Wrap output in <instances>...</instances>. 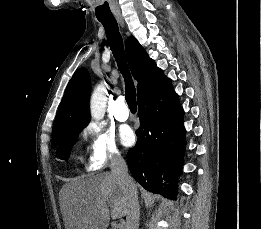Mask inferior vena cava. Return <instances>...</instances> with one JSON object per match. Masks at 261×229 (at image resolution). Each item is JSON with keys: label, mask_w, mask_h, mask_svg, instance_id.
Here are the masks:
<instances>
[{"label": "inferior vena cava", "mask_w": 261, "mask_h": 229, "mask_svg": "<svg viewBox=\"0 0 261 229\" xmlns=\"http://www.w3.org/2000/svg\"><path fill=\"white\" fill-rule=\"evenodd\" d=\"M110 169L112 175L119 179V183L129 199L125 229H139L140 211L137 189L133 179L128 175V167L124 159L122 157H113Z\"/></svg>", "instance_id": "1"}]
</instances>
